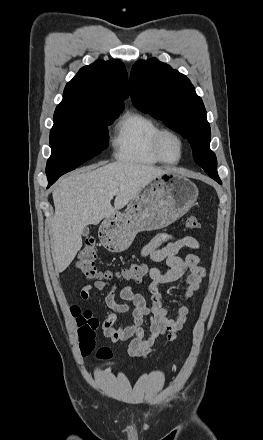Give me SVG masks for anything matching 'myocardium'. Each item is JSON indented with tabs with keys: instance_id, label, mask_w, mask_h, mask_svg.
Listing matches in <instances>:
<instances>
[{
	"instance_id": "f54148a6",
	"label": "myocardium",
	"mask_w": 263,
	"mask_h": 440,
	"mask_svg": "<svg viewBox=\"0 0 263 440\" xmlns=\"http://www.w3.org/2000/svg\"><path fill=\"white\" fill-rule=\"evenodd\" d=\"M165 135H171L174 138H176L177 141L179 142L180 154H179V157L176 160H174V161H170V160L166 159L165 156L163 155V152H162V149H161V142H162V139H163V137ZM153 150H154V153L156 154V156L158 157V159L161 162H163L165 164H177L178 162H180L182 160V158L184 156L185 141H184V138L177 131H175L174 129L167 128V127L160 128L156 132V134H155V136L153 138Z\"/></svg>"
}]
</instances>
